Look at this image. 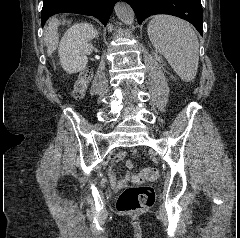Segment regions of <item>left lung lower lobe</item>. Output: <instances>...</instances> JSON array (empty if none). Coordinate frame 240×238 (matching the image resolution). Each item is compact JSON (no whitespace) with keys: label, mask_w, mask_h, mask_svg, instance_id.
Masks as SVG:
<instances>
[{"label":"left lung lower lobe","mask_w":240,"mask_h":238,"mask_svg":"<svg viewBox=\"0 0 240 238\" xmlns=\"http://www.w3.org/2000/svg\"><path fill=\"white\" fill-rule=\"evenodd\" d=\"M134 10L139 24L155 14L185 19L203 33V11L200 0H125Z\"/></svg>","instance_id":"obj_1"}]
</instances>
